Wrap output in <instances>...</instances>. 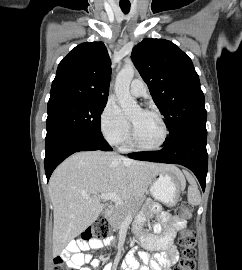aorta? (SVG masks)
<instances>
[{
	"instance_id": "obj_1",
	"label": "aorta",
	"mask_w": 242,
	"mask_h": 270,
	"mask_svg": "<svg viewBox=\"0 0 242 270\" xmlns=\"http://www.w3.org/2000/svg\"><path fill=\"white\" fill-rule=\"evenodd\" d=\"M135 67L132 63L126 64L118 73L115 82V94L126 115L140 110L139 105L130 94V83L134 77Z\"/></svg>"
}]
</instances>
